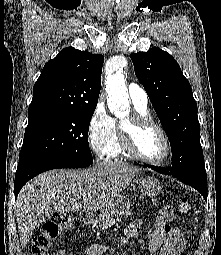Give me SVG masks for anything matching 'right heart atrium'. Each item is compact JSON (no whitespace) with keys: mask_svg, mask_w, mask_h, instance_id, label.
Instances as JSON below:
<instances>
[{"mask_svg":"<svg viewBox=\"0 0 221 255\" xmlns=\"http://www.w3.org/2000/svg\"><path fill=\"white\" fill-rule=\"evenodd\" d=\"M114 119L109 115L103 103L99 102L93 110L87 125V139L92 152L102 157L104 147L111 134Z\"/></svg>","mask_w":221,"mask_h":255,"instance_id":"d8ad5b80","label":"right heart atrium"}]
</instances>
